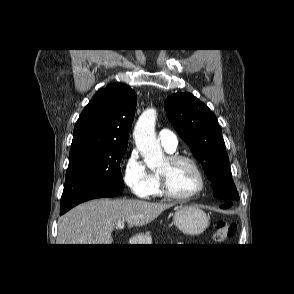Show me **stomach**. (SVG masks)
I'll list each match as a JSON object with an SVG mask.
<instances>
[{
	"instance_id": "stomach-1",
	"label": "stomach",
	"mask_w": 294,
	"mask_h": 294,
	"mask_svg": "<svg viewBox=\"0 0 294 294\" xmlns=\"http://www.w3.org/2000/svg\"><path fill=\"white\" fill-rule=\"evenodd\" d=\"M174 223L183 233L198 235L208 227L209 219L206 213L195 205L181 206L174 214Z\"/></svg>"
}]
</instances>
